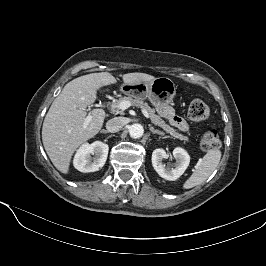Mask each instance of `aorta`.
<instances>
[{
	"label": "aorta",
	"instance_id": "1",
	"mask_svg": "<svg viewBox=\"0 0 266 266\" xmlns=\"http://www.w3.org/2000/svg\"><path fill=\"white\" fill-rule=\"evenodd\" d=\"M129 134L131 138L138 139L143 136L144 129L141 124H133L129 128Z\"/></svg>",
	"mask_w": 266,
	"mask_h": 266
}]
</instances>
